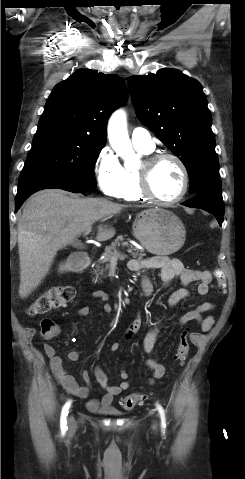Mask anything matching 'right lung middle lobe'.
Instances as JSON below:
<instances>
[{"mask_svg": "<svg viewBox=\"0 0 245 479\" xmlns=\"http://www.w3.org/2000/svg\"><path fill=\"white\" fill-rule=\"evenodd\" d=\"M104 144L63 129L37 130L20 174L19 184L41 177H55L96 187L94 165Z\"/></svg>", "mask_w": 245, "mask_h": 479, "instance_id": "1", "label": "right lung middle lobe"}]
</instances>
